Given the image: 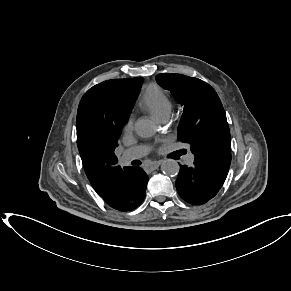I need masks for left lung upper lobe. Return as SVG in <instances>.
I'll use <instances>...</instances> for the list:
<instances>
[{"mask_svg":"<svg viewBox=\"0 0 291 291\" xmlns=\"http://www.w3.org/2000/svg\"><path fill=\"white\" fill-rule=\"evenodd\" d=\"M156 81L184 106L178 139L191 145L195 160L224 177L231 163L230 131L222 103L206 82L162 73Z\"/></svg>","mask_w":291,"mask_h":291,"instance_id":"left-lung-upper-lobe-1","label":"left lung upper lobe"}]
</instances>
